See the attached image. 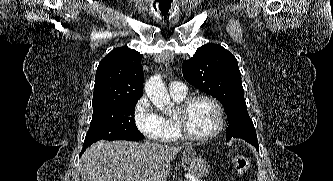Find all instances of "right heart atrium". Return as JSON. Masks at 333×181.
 <instances>
[{
	"mask_svg": "<svg viewBox=\"0 0 333 181\" xmlns=\"http://www.w3.org/2000/svg\"><path fill=\"white\" fill-rule=\"evenodd\" d=\"M133 119L137 129L149 139L165 140L171 132L170 123L152 107L146 96L135 103Z\"/></svg>",
	"mask_w": 333,
	"mask_h": 181,
	"instance_id": "d8ad5b80",
	"label": "right heart atrium"
}]
</instances>
